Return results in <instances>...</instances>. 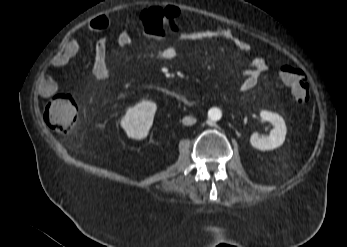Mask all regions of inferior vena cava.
Masks as SVG:
<instances>
[{
	"instance_id": "obj_1",
	"label": "inferior vena cava",
	"mask_w": 347,
	"mask_h": 247,
	"mask_svg": "<svg viewBox=\"0 0 347 247\" xmlns=\"http://www.w3.org/2000/svg\"><path fill=\"white\" fill-rule=\"evenodd\" d=\"M182 123L184 125H193L196 123V118L191 117V116H186L183 118Z\"/></svg>"
}]
</instances>
